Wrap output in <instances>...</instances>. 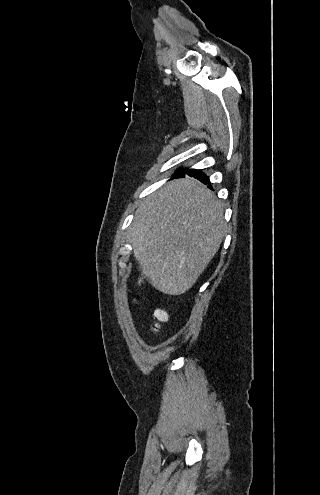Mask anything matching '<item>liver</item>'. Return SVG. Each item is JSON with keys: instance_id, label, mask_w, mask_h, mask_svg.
I'll return each mask as SVG.
<instances>
[{"instance_id": "obj_1", "label": "liver", "mask_w": 320, "mask_h": 495, "mask_svg": "<svg viewBox=\"0 0 320 495\" xmlns=\"http://www.w3.org/2000/svg\"><path fill=\"white\" fill-rule=\"evenodd\" d=\"M225 233L221 202L186 176L169 182L138 208L130 243L150 284L177 296L194 285Z\"/></svg>"}]
</instances>
